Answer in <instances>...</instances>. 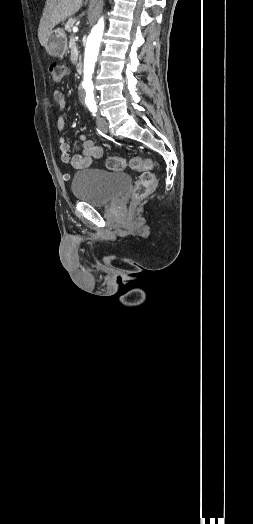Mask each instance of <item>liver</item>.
<instances>
[{"label": "liver", "instance_id": "1", "mask_svg": "<svg viewBox=\"0 0 253 524\" xmlns=\"http://www.w3.org/2000/svg\"><path fill=\"white\" fill-rule=\"evenodd\" d=\"M83 4V0H47L40 19L38 38L45 47L51 30L69 16L75 14Z\"/></svg>", "mask_w": 253, "mask_h": 524}]
</instances>
